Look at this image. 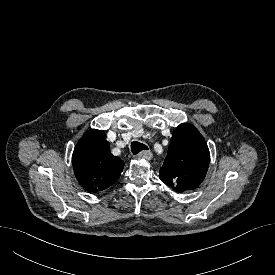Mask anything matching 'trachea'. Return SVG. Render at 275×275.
Returning a JSON list of instances; mask_svg holds the SVG:
<instances>
[{
	"label": "trachea",
	"mask_w": 275,
	"mask_h": 275,
	"mask_svg": "<svg viewBox=\"0 0 275 275\" xmlns=\"http://www.w3.org/2000/svg\"><path fill=\"white\" fill-rule=\"evenodd\" d=\"M143 150H148V147L145 144L140 143L138 141H134L131 143V151L134 155L138 154Z\"/></svg>",
	"instance_id": "obj_1"
}]
</instances>
